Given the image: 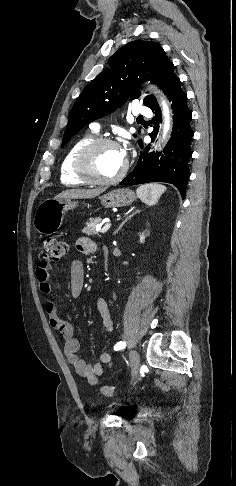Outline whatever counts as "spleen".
Wrapping results in <instances>:
<instances>
[{"label":"spleen","mask_w":236,"mask_h":486,"mask_svg":"<svg viewBox=\"0 0 236 486\" xmlns=\"http://www.w3.org/2000/svg\"><path fill=\"white\" fill-rule=\"evenodd\" d=\"M166 191V187L157 183L143 184L136 190L137 196L147 205H155L161 195Z\"/></svg>","instance_id":"1"}]
</instances>
